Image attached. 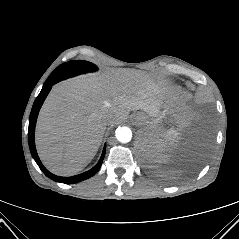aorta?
Wrapping results in <instances>:
<instances>
[{
    "label": "aorta",
    "mask_w": 239,
    "mask_h": 239,
    "mask_svg": "<svg viewBox=\"0 0 239 239\" xmlns=\"http://www.w3.org/2000/svg\"><path fill=\"white\" fill-rule=\"evenodd\" d=\"M115 136L121 143H128L132 139V131L129 127L123 126L116 129Z\"/></svg>",
    "instance_id": "aorta-1"
}]
</instances>
